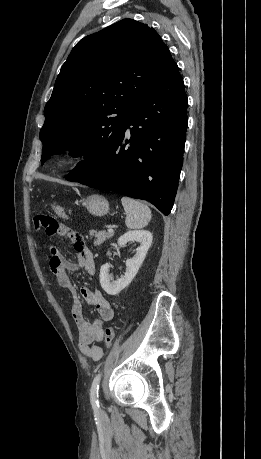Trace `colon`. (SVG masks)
<instances>
[{
    "label": "colon",
    "mask_w": 261,
    "mask_h": 459,
    "mask_svg": "<svg viewBox=\"0 0 261 459\" xmlns=\"http://www.w3.org/2000/svg\"><path fill=\"white\" fill-rule=\"evenodd\" d=\"M51 208H52V211L58 217H60V218H66L67 217V213H66L65 209L62 206L56 205V204H52ZM35 223H36V226H38V227H44V228L48 229L49 231H52L55 228V226L57 224V221L51 215L40 214L35 218ZM114 337H115L114 328L113 327H107L105 329V333H104V345H105L106 349H109L111 347V345L113 343V340H114Z\"/></svg>",
    "instance_id": "colon-1"
}]
</instances>
